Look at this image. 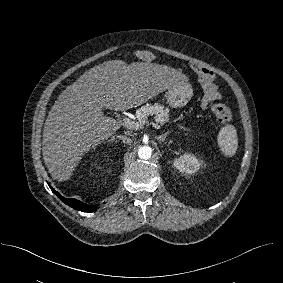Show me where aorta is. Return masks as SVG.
Masks as SVG:
<instances>
[{"label": "aorta", "instance_id": "1", "mask_svg": "<svg viewBox=\"0 0 283 283\" xmlns=\"http://www.w3.org/2000/svg\"><path fill=\"white\" fill-rule=\"evenodd\" d=\"M152 155V148L150 146H141L138 149V157L140 159L147 160L151 158Z\"/></svg>", "mask_w": 283, "mask_h": 283}]
</instances>
